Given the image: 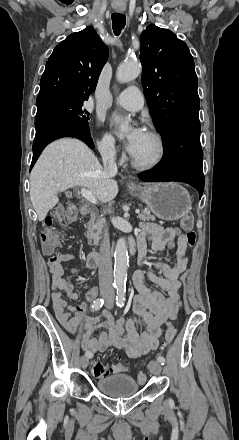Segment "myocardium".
Segmentation results:
<instances>
[{
  "label": "myocardium",
  "mask_w": 239,
  "mask_h": 440,
  "mask_svg": "<svg viewBox=\"0 0 239 440\" xmlns=\"http://www.w3.org/2000/svg\"><path fill=\"white\" fill-rule=\"evenodd\" d=\"M146 133H148L155 140L158 148V153L155 159L148 163L139 160L133 154H131L130 159L132 166L140 171H152L158 168L163 163L167 152L165 140L159 132L153 129H149Z\"/></svg>",
  "instance_id": "1"
}]
</instances>
